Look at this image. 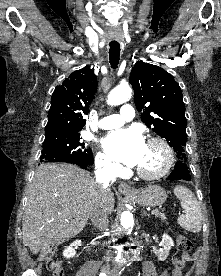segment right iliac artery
Wrapping results in <instances>:
<instances>
[{
    "instance_id": "82829eb1",
    "label": "right iliac artery",
    "mask_w": 221,
    "mask_h": 276,
    "mask_svg": "<svg viewBox=\"0 0 221 276\" xmlns=\"http://www.w3.org/2000/svg\"><path fill=\"white\" fill-rule=\"evenodd\" d=\"M99 276H106L104 273H101Z\"/></svg>"
}]
</instances>
